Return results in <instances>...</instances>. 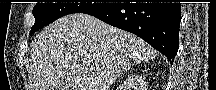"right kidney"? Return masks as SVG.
<instances>
[{
    "label": "right kidney",
    "instance_id": "1",
    "mask_svg": "<svg viewBox=\"0 0 216 90\" xmlns=\"http://www.w3.org/2000/svg\"><path fill=\"white\" fill-rule=\"evenodd\" d=\"M124 88H128V86H124Z\"/></svg>",
    "mask_w": 216,
    "mask_h": 90
}]
</instances>
